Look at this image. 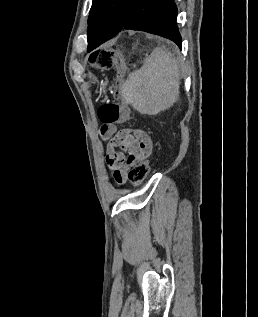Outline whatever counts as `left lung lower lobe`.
Listing matches in <instances>:
<instances>
[{
	"label": "left lung lower lobe",
	"instance_id": "left-lung-lower-lobe-1",
	"mask_svg": "<svg viewBox=\"0 0 258 317\" xmlns=\"http://www.w3.org/2000/svg\"><path fill=\"white\" fill-rule=\"evenodd\" d=\"M174 0H131L121 27L100 26L88 32V52L114 37L122 29L145 31L175 42L181 48L182 38L176 25Z\"/></svg>",
	"mask_w": 258,
	"mask_h": 317
}]
</instances>
